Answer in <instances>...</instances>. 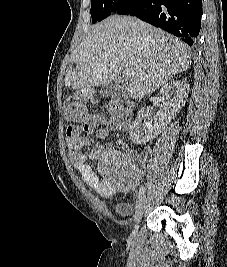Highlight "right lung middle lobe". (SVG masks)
Instances as JSON below:
<instances>
[{
	"instance_id": "obj_1",
	"label": "right lung middle lobe",
	"mask_w": 227,
	"mask_h": 267,
	"mask_svg": "<svg viewBox=\"0 0 227 267\" xmlns=\"http://www.w3.org/2000/svg\"><path fill=\"white\" fill-rule=\"evenodd\" d=\"M128 0H91L92 22L96 23L115 13Z\"/></svg>"
}]
</instances>
